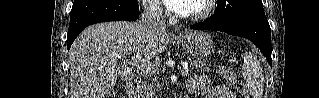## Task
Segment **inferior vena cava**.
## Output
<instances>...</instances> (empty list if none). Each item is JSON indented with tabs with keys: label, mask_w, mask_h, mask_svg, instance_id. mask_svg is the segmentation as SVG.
<instances>
[{
	"label": "inferior vena cava",
	"mask_w": 319,
	"mask_h": 98,
	"mask_svg": "<svg viewBox=\"0 0 319 98\" xmlns=\"http://www.w3.org/2000/svg\"><path fill=\"white\" fill-rule=\"evenodd\" d=\"M144 12L140 17L142 30L150 34L166 33L165 19L162 8L153 0L143 1Z\"/></svg>",
	"instance_id": "inferior-vena-cava-1"
}]
</instances>
